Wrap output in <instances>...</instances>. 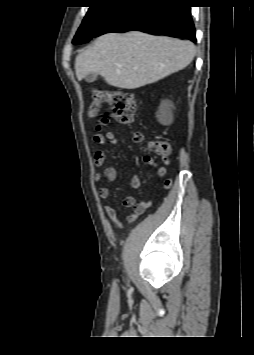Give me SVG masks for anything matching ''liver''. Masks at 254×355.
<instances>
[{"label":"liver","instance_id":"1","mask_svg":"<svg viewBox=\"0 0 254 355\" xmlns=\"http://www.w3.org/2000/svg\"><path fill=\"white\" fill-rule=\"evenodd\" d=\"M195 53L187 40L138 31L109 33L76 57L75 73L79 81L95 73L111 86L136 89L184 69Z\"/></svg>","mask_w":254,"mask_h":355}]
</instances>
